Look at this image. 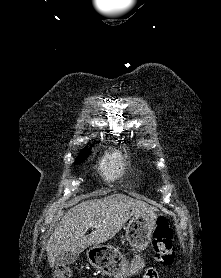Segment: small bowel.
<instances>
[{"label": "small bowel", "mask_w": 221, "mask_h": 278, "mask_svg": "<svg viewBox=\"0 0 221 278\" xmlns=\"http://www.w3.org/2000/svg\"><path fill=\"white\" fill-rule=\"evenodd\" d=\"M143 278H154V277L152 275H150L149 273H146Z\"/></svg>", "instance_id": "1"}]
</instances>
